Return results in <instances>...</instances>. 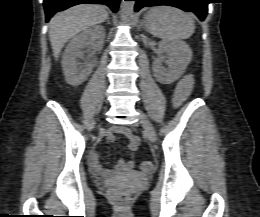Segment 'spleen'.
Masks as SVG:
<instances>
[{
    "mask_svg": "<svg viewBox=\"0 0 260 217\" xmlns=\"http://www.w3.org/2000/svg\"><path fill=\"white\" fill-rule=\"evenodd\" d=\"M145 19L147 30L163 40L186 39L195 30L192 15L174 7H154Z\"/></svg>",
    "mask_w": 260,
    "mask_h": 217,
    "instance_id": "3e777b00",
    "label": "spleen"
}]
</instances>
